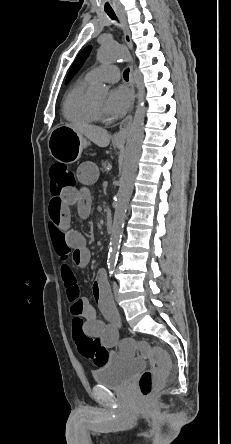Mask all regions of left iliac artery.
<instances>
[{
    "instance_id": "left-iliac-artery-1",
    "label": "left iliac artery",
    "mask_w": 231,
    "mask_h": 444,
    "mask_svg": "<svg viewBox=\"0 0 231 444\" xmlns=\"http://www.w3.org/2000/svg\"><path fill=\"white\" fill-rule=\"evenodd\" d=\"M109 269H110V270H109V273H110V276H111V275L113 274V271H114V270H113V268H110V267H109Z\"/></svg>"
}]
</instances>
